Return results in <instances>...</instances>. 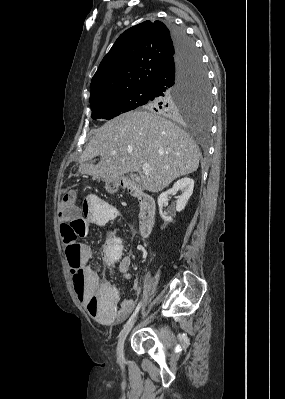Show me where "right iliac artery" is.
<instances>
[{"mask_svg": "<svg viewBox=\"0 0 285 399\" xmlns=\"http://www.w3.org/2000/svg\"><path fill=\"white\" fill-rule=\"evenodd\" d=\"M142 306V300L138 303L135 311L133 312V314L131 315V317L129 318V320L127 321V323L124 325V328L136 317L137 313L139 312L140 308Z\"/></svg>", "mask_w": 285, "mask_h": 399, "instance_id": "82829eb1", "label": "right iliac artery"}]
</instances>
